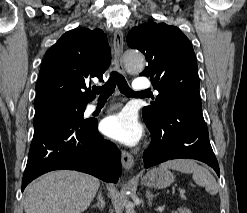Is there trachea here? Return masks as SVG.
Returning <instances> with one entry per match:
<instances>
[{"mask_svg":"<svg viewBox=\"0 0 247 213\" xmlns=\"http://www.w3.org/2000/svg\"><path fill=\"white\" fill-rule=\"evenodd\" d=\"M116 85L118 86L119 91L126 96H133L141 93V92H134L128 86L125 78L122 75L118 74V72L116 71H113L111 73L110 78L103 86L96 87L93 89V91L100 95L99 96L100 99H108L109 96H111L112 93L114 92Z\"/></svg>","mask_w":247,"mask_h":213,"instance_id":"3493384b","label":"trachea"}]
</instances>
